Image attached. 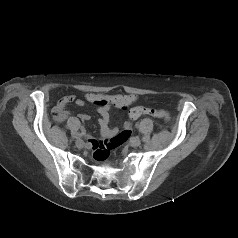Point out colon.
<instances>
[{
	"label": "colon",
	"mask_w": 238,
	"mask_h": 238,
	"mask_svg": "<svg viewBox=\"0 0 238 238\" xmlns=\"http://www.w3.org/2000/svg\"><path fill=\"white\" fill-rule=\"evenodd\" d=\"M142 115H152L155 117H165V113L147 107H136L128 113L130 120H135ZM133 123L126 121L124 123L123 131L113 137L104 140L95 141L93 144L94 157L97 160H105L108 158L110 152L123 144L129 135L132 133Z\"/></svg>",
	"instance_id": "5ec220e1"
}]
</instances>
